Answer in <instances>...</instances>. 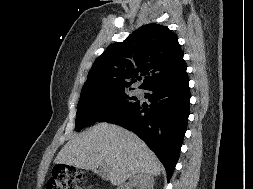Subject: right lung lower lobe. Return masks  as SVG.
Listing matches in <instances>:
<instances>
[{
  "label": "right lung lower lobe",
  "instance_id": "1",
  "mask_svg": "<svg viewBox=\"0 0 253 189\" xmlns=\"http://www.w3.org/2000/svg\"><path fill=\"white\" fill-rule=\"evenodd\" d=\"M189 79L156 84L146 90L149 107L138 102L132 109L114 116L113 122L133 131L146 142L165 166L169 182L180 155L190 114Z\"/></svg>",
  "mask_w": 253,
  "mask_h": 189
}]
</instances>
